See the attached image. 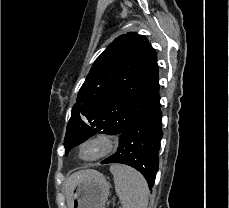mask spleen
<instances>
[{
  "label": "spleen",
  "instance_id": "1",
  "mask_svg": "<svg viewBox=\"0 0 229 208\" xmlns=\"http://www.w3.org/2000/svg\"><path fill=\"white\" fill-rule=\"evenodd\" d=\"M110 172L123 208H147L149 190L145 178L139 172L123 164L110 166Z\"/></svg>",
  "mask_w": 229,
  "mask_h": 208
}]
</instances>
